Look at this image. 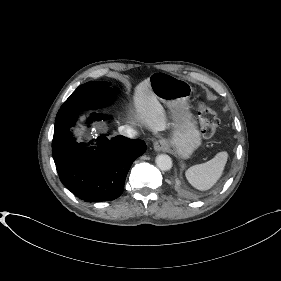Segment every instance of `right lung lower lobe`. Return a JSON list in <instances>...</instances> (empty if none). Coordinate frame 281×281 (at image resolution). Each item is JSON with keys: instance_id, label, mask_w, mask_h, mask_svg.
I'll use <instances>...</instances> for the list:
<instances>
[{"instance_id": "right-lung-lower-lobe-1", "label": "right lung lower lobe", "mask_w": 281, "mask_h": 281, "mask_svg": "<svg viewBox=\"0 0 281 281\" xmlns=\"http://www.w3.org/2000/svg\"><path fill=\"white\" fill-rule=\"evenodd\" d=\"M78 114L73 112L55 123L52 152L60 180L86 202L114 200L123 192L130 166L146 151V144L124 136L109 139L100 135L96 146L87 147L70 131ZM109 118L92 113L89 123Z\"/></svg>"}]
</instances>
